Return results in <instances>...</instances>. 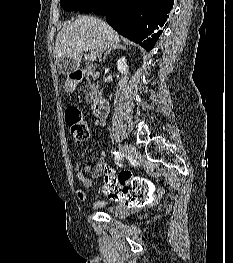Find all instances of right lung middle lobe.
Instances as JSON below:
<instances>
[{
    "label": "right lung middle lobe",
    "instance_id": "right-lung-middle-lobe-1",
    "mask_svg": "<svg viewBox=\"0 0 233 263\" xmlns=\"http://www.w3.org/2000/svg\"><path fill=\"white\" fill-rule=\"evenodd\" d=\"M103 0H60L65 11L92 12Z\"/></svg>",
    "mask_w": 233,
    "mask_h": 263
}]
</instances>
